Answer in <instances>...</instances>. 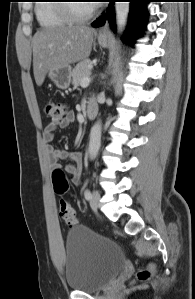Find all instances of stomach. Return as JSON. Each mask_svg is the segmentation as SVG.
I'll return each mask as SVG.
<instances>
[{"label":"stomach","instance_id":"0dacf381","mask_svg":"<svg viewBox=\"0 0 195 299\" xmlns=\"http://www.w3.org/2000/svg\"><path fill=\"white\" fill-rule=\"evenodd\" d=\"M98 42L102 47L108 45V39L101 36L98 37ZM49 79L60 89H67L70 86L72 78V68L70 66L50 69L48 72Z\"/></svg>","mask_w":195,"mask_h":299}]
</instances>
